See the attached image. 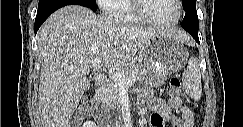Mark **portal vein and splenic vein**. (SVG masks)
<instances>
[{
	"instance_id": "18ae733b",
	"label": "portal vein and splenic vein",
	"mask_w": 243,
	"mask_h": 127,
	"mask_svg": "<svg viewBox=\"0 0 243 127\" xmlns=\"http://www.w3.org/2000/svg\"><path fill=\"white\" fill-rule=\"evenodd\" d=\"M101 63H102V59L100 57H96V58L92 59V61H91L92 67L95 70L99 69L101 71L103 70L106 72V70L101 67ZM109 75L121 86H124V85L127 86L130 83L135 82V80H136L134 73H132L128 78H126L124 73L113 70L112 72H109Z\"/></svg>"
}]
</instances>
